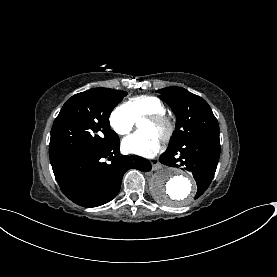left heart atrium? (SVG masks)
I'll return each instance as SVG.
<instances>
[{"label":"left heart atrium","instance_id":"39dd6f15","mask_svg":"<svg viewBox=\"0 0 277 277\" xmlns=\"http://www.w3.org/2000/svg\"><path fill=\"white\" fill-rule=\"evenodd\" d=\"M161 139L147 131H140L132 134L122 141L123 148L131 153L142 156H152L161 148Z\"/></svg>","mask_w":277,"mask_h":277}]
</instances>
